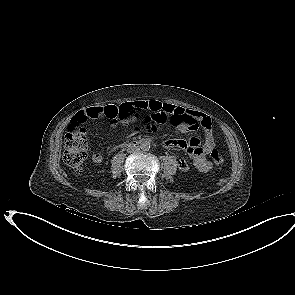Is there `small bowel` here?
Listing matches in <instances>:
<instances>
[{
    "label": "small bowel",
    "mask_w": 295,
    "mask_h": 295,
    "mask_svg": "<svg viewBox=\"0 0 295 295\" xmlns=\"http://www.w3.org/2000/svg\"><path fill=\"white\" fill-rule=\"evenodd\" d=\"M126 105L133 108L135 113L150 111L154 116L163 114L165 116L162 121L163 123L173 125L183 133L202 129L204 132L203 142H201L198 135H193L188 140L169 139L166 140L163 145L165 148H178L186 151L192 159L194 167L200 172L206 173L212 169V163L206 158L215 147V137L209 116L158 100H139ZM102 116H104L103 106L88 107L77 112L72 118L70 125H83L89 120L97 119ZM91 158L92 161L97 164L104 160L103 154L98 151H93ZM178 167L182 171L189 170V164L183 158L178 161Z\"/></svg>",
    "instance_id": "c3829d8e"
}]
</instances>
